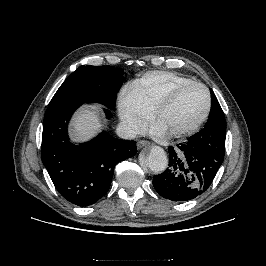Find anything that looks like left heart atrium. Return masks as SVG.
Here are the masks:
<instances>
[{
    "instance_id": "obj_1",
    "label": "left heart atrium",
    "mask_w": 266,
    "mask_h": 266,
    "mask_svg": "<svg viewBox=\"0 0 266 266\" xmlns=\"http://www.w3.org/2000/svg\"><path fill=\"white\" fill-rule=\"evenodd\" d=\"M166 130L160 125L157 123V125L155 126V129H154V133L157 135V136H163L166 134Z\"/></svg>"
}]
</instances>
